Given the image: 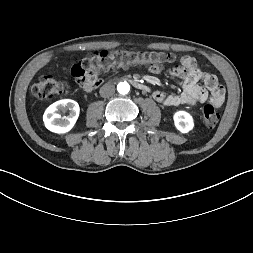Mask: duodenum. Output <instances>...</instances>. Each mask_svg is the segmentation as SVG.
<instances>
[{
    "instance_id": "410a0bca",
    "label": "duodenum",
    "mask_w": 253,
    "mask_h": 253,
    "mask_svg": "<svg viewBox=\"0 0 253 253\" xmlns=\"http://www.w3.org/2000/svg\"><path fill=\"white\" fill-rule=\"evenodd\" d=\"M135 86L139 88L140 90H147V88L143 84L136 81H135Z\"/></svg>"
}]
</instances>
